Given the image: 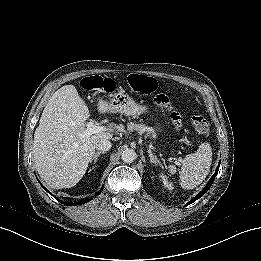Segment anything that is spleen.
<instances>
[{
	"label": "spleen",
	"mask_w": 261,
	"mask_h": 261,
	"mask_svg": "<svg viewBox=\"0 0 261 261\" xmlns=\"http://www.w3.org/2000/svg\"><path fill=\"white\" fill-rule=\"evenodd\" d=\"M211 162L212 151L208 143L201 144L195 153L186 155L179 170L181 187L194 189L200 185L209 174ZM168 169L171 174L176 172L174 165L168 166Z\"/></svg>",
	"instance_id": "spleen-1"
}]
</instances>
